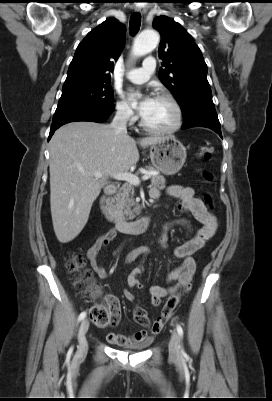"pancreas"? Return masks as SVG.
<instances>
[{
    "mask_svg": "<svg viewBox=\"0 0 272 401\" xmlns=\"http://www.w3.org/2000/svg\"><path fill=\"white\" fill-rule=\"evenodd\" d=\"M146 169L148 171H155L152 167H146ZM139 174L140 172L138 171L136 175ZM150 179L152 186L159 189L165 188V178L162 175H150ZM134 193V186L130 183H125L118 190L114 196V212L117 218L132 220L136 215L140 214V207L134 200Z\"/></svg>",
    "mask_w": 272,
    "mask_h": 401,
    "instance_id": "obj_1",
    "label": "pancreas"
}]
</instances>
